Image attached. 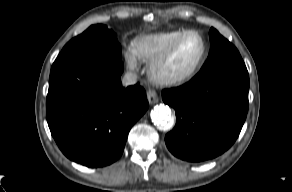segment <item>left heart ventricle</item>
<instances>
[{
    "mask_svg": "<svg viewBox=\"0 0 292 192\" xmlns=\"http://www.w3.org/2000/svg\"><path fill=\"white\" fill-rule=\"evenodd\" d=\"M202 53V42L196 35L187 36L179 45L167 65L171 74H181L191 69Z\"/></svg>",
    "mask_w": 292,
    "mask_h": 192,
    "instance_id": "1",
    "label": "left heart ventricle"
}]
</instances>
